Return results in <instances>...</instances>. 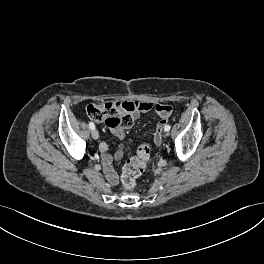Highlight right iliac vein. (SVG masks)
<instances>
[{
    "label": "right iliac vein",
    "instance_id": "obj_1",
    "mask_svg": "<svg viewBox=\"0 0 264 264\" xmlns=\"http://www.w3.org/2000/svg\"><path fill=\"white\" fill-rule=\"evenodd\" d=\"M91 134H92V137L94 139H98L99 138V132H98V130L93 129L92 132H91Z\"/></svg>",
    "mask_w": 264,
    "mask_h": 264
}]
</instances>
